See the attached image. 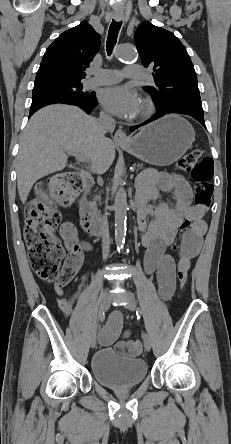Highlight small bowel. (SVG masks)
I'll use <instances>...</instances> for the list:
<instances>
[{"label": "small bowel", "instance_id": "obj_1", "mask_svg": "<svg viewBox=\"0 0 231 444\" xmlns=\"http://www.w3.org/2000/svg\"><path fill=\"white\" fill-rule=\"evenodd\" d=\"M160 191L171 194L172 205L165 202L152 204L158 199ZM137 203L140 208L138 226L145 247V270L149 274L156 273L159 294L167 300L175 290L176 270L187 271L191 261L200 251L202 237L206 232V223L203 220L206 208L192 204L191 188L185 178L177 174L159 172H147L139 178ZM184 222H188L191 228L184 236L181 255L176 264L175 259L166 250ZM60 234L69 251H79L83 254V251L88 249V246L80 241L77 229L71 222L62 224ZM84 283L85 279L70 296H65L61 289L56 288L59 295L57 304L65 317L69 318L72 315ZM122 333L121 315L114 313L100 331L99 341L104 346L111 345Z\"/></svg>", "mask_w": 231, "mask_h": 444}]
</instances>
